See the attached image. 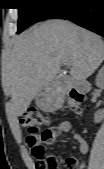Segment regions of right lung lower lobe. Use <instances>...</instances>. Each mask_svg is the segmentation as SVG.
Instances as JSON below:
<instances>
[{
    "label": "right lung lower lobe",
    "mask_w": 104,
    "mask_h": 169,
    "mask_svg": "<svg viewBox=\"0 0 104 169\" xmlns=\"http://www.w3.org/2000/svg\"><path fill=\"white\" fill-rule=\"evenodd\" d=\"M50 19H67L104 36V0H75Z\"/></svg>",
    "instance_id": "right-lung-lower-lobe-1"
}]
</instances>
